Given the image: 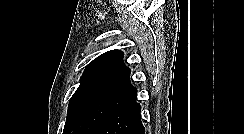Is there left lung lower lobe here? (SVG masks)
Segmentation results:
<instances>
[{
	"instance_id": "0a47b994",
	"label": "left lung lower lobe",
	"mask_w": 244,
	"mask_h": 134,
	"mask_svg": "<svg viewBox=\"0 0 244 134\" xmlns=\"http://www.w3.org/2000/svg\"><path fill=\"white\" fill-rule=\"evenodd\" d=\"M136 99L109 116L94 134H145Z\"/></svg>"
}]
</instances>
